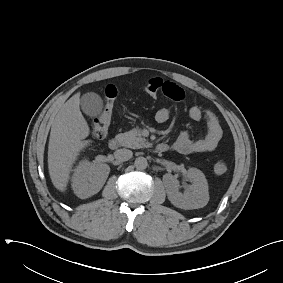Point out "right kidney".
Wrapping results in <instances>:
<instances>
[{"label": "right kidney", "instance_id": "1", "mask_svg": "<svg viewBox=\"0 0 283 283\" xmlns=\"http://www.w3.org/2000/svg\"><path fill=\"white\" fill-rule=\"evenodd\" d=\"M110 172V167L103 163H91L81 160L74 169L72 188L81 199H86L98 193Z\"/></svg>", "mask_w": 283, "mask_h": 283}]
</instances>
